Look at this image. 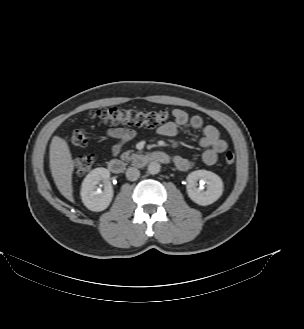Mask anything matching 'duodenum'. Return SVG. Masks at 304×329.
<instances>
[{
	"mask_svg": "<svg viewBox=\"0 0 304 329\" xmlns=\"http://www.w3.org/2000/svg\"><path fill=\"white\" fill-rule=\"evenodd\" d=\"M129 160L140 167L148 163H170L171 157L160 151L147 153H131ZM108 169L114 174H121L125 169V162L121 159H112L108 162Z\"/></svg>",
	"mask_w": 304,
	"mask_h": 329,
	"instance_id": "410a0bca",
	"label": "duodenum"
}]
</instances>
